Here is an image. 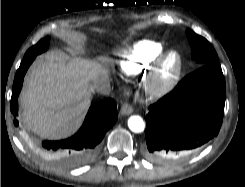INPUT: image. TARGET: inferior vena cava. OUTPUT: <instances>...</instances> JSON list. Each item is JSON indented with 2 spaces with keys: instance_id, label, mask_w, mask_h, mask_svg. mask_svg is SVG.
Masks as SVG:
<instances>
[{
  "instance_id": "1",
  "label": "inferior vena cava",
  "mask_w": 245,
  "mask_h": 187,
  "mask_svg": "<svg viewBox=\"0 0 245 187\" xmlns=\"http://www.w3.org/2000/svg\"><path fill=\"white\" fill-rule=\"evenodd\" d=\"M91 90L102 95H109L111 92L110 82L108 80H99L93 84Z\"/></svg>"
}]
</instances>
